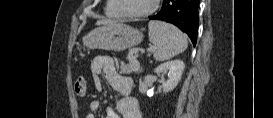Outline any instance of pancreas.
Masks as SVG:
<instances>
[{
    "instance_id": "obj_1",
    "label": "pancreas",
    "mask_w": 273,
    "mask_h": 118,
    "mask_svg": "<svg viewBox=\"0 0 273 118\" xmlns=\"http://www.w3.org/2000/svg\"><path fill=\"white\" fill-rule=\"evenodd\" d=\"M136 54L133 52H130L127 55V59L129 61V64H125L124 62H121V72L124 74H130L132 72H136L139 69V64L136 60Z\"/></svg>"
}]
</instances>
